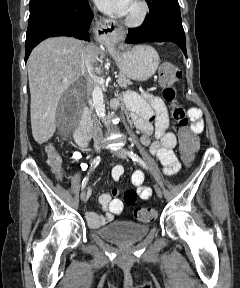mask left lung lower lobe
Here are the masks:
<instances>
[{
  "instance_id": "1",
  "label": "left lung lower lobe",
  "mask_w": 240,
  "mask_h": 288,
  "mask_svg": "<svg viewBox=\"0 0 240 288\" xmlns=\"http://www.w3.org/2000/svg\"><path fill=\"white\" fill-rule=\"evenodd\" d=\"M150 13L142 26L128 30L126 43L141 42L176 43L186 53L185 33L182 26L178 0H154Z\"/></svg>"
}]
</instances>
